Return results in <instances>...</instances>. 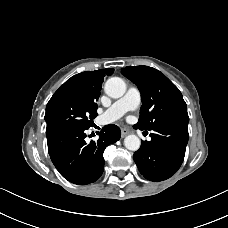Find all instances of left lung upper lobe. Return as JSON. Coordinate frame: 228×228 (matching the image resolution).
Here are the masks:
<instances>
[{
  "label": "left lung upper lobe",
  "instance_id": "1",
  "mask_svg": "<svg viewBox=\"0 0 228 228\" xmlns=\"http://www.w3.org/2000/svg\"><path fill=\"white\" fill-rule=\"evenodd\" d=\"M121 73L136 84L142 107L137 126L154 130L168 124H188L187 106L179 89L159 70L148 66H128Z\"/></svg>",
  "mask_w": 228,
  "mask_h": 228
}]
</instances>
